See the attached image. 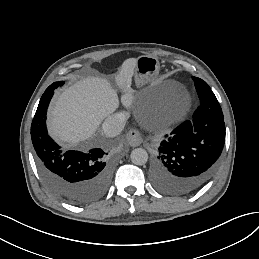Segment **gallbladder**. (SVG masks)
<instances>
[{"label": "gallbladder", "instance_id": "gallbladder-1", "mask_svg": "<svg viewBox=\"0 0 259 259\" xmlns=\"http://www.w3.org/2000/svg\"><path fill=\"white\" fill-rule=\"evenodd\" d=\"M139 103H140V105H146L145 97H143Z\"/></svg>", "mask_w": 259, "mask_h": 259}]
</instances>
